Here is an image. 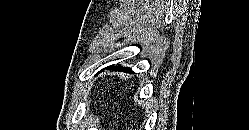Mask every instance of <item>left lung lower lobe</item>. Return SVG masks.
<instances>
[{
    "mask_svg": "<svg viewBox=\"0 0 249 130\" xmlns=\"http://www.w3.org/2000/svg\"><path fill=\"white\" fill-rule=\"evenodd\" d=\"M113 66H114V65H111V66H109V67H106V69H109V68H110V69H114V67H113ZM116 70H121V71L123 70L124 72H130V73H133V72H132V70H131L130 68H127V67H126V68L119 67V68H116Z\"/></svg>",
    "mask_w": 249,
    "mask_h": 130,
    "instance_id": "0a47b994",
    "label": "left lung lower lobe"
}]
</instances>
